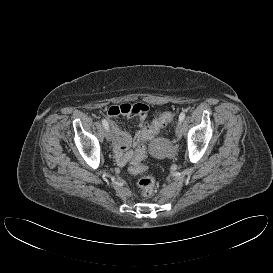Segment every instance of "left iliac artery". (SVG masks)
Segmentation results:
<instances>
[{
    "mask_svg": "<svg viewBox=\"0 0 273 273\" xmlns=\"http://www.w3.org/2000/svg\"><path fill=\"white\" fill-rule=\"evenodd\" d=\"M185 119V113L184 112H181L180 115H179V121H183Z\"/></svg>",
    "mask_w": 273,
    "mask_h": 273,
    "instance_id": "44dca946",
    "label": "left iliac artery"
}]
</instances>
